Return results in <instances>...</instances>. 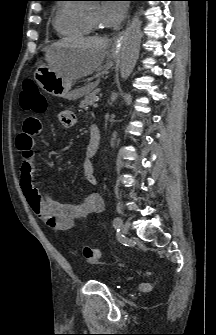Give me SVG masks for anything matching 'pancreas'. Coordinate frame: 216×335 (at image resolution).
Segmentation results:
<instances>
[{
	"mask_svg": "<svg viewBox=\"0 0 216 335\" xmlns=\"http://www.w3.org/2000/svg\"><path fill=\"white\" fill-rule=\"evenodd\" d=\"M84 99L80 102L79 107L87 110L89 106L93 105L97 99V94L99 93L98 89L92 91V86L88 85L83 88Z\"/></svg>",
	"mask_w": 216,
	"mask_h": 335,
	"instance_id": "obj_1",
	"label": "pancreas"
}]
</instances>
